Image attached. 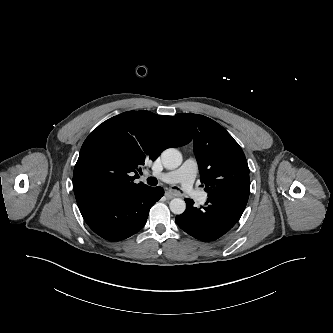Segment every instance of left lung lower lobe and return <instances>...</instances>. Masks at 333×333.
I'll return each mask as SVG.
<instances>
[{
    "mask_svg": "<svg viewBox=\"0 0 333 333\" xmlns=\"http://www.w3.org/2000/svg\"><path fill=\"white\" fill-rule=\"evenodd\" d=\"M242 185V187H241ZM250 192L249 176L225 181L208 192L206 206L196 208L185 199L187 208L176 216L177 225L189 235L213 241L227 233L240 219Z\"/></svg>",
    "mask_w": 333,
    "mask_h": 333,
    "instance_id": "0a47b994",
    "label": "left lung lower lobe"
}]
</instances>
